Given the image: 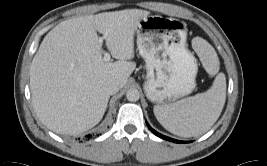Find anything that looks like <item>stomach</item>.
I'll return each instance as SVG.
<instances>
[{"label":"stomach","mask_w":267,"mask_h":166,"mask_svg":"<svg viewBox=\"0 0 267 166\" xmlns=\"http://www.w3.org/2000/svg\"><path fill=\"white\" fill-rule=\"evenodd\" d=\"M184 24L159 15L148 16L137 28V48L145 60L147 98L166 105L195 89L197 60L187 48Z\"/></svg>","instance_id":"0dacf381"}]
</instances>
